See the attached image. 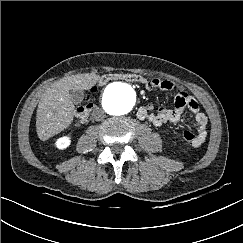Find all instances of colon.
<instances>
[{
  "label": "colon",
  "instance_id": "colon-1",
  "mask_svg": "<svg viewBox=\"0 0 243 243\" xmlns=\"http://www.w3.org/2000/svg\"><path fill=\"white\" fill-rule=\"evenodd\" d=\"M113 80H124L135 83H144L145 79L139 74L135 73H109L103 75L99 80V85H105ZM94 91V90H92ZM93 104L90 102L89 97L87 98V103L77 109L76 121L79 124L86 123L89 119ZM183 138L185 141L192 143L196 140V134L186 130L183 133Z\"/></svg>",
  "mask_w": 243,
  "mask_h": 243
}]
</instances>
